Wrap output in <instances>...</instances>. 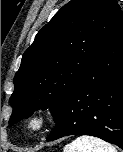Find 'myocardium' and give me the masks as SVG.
I'll use <instances>...</instances> for the list:
<instances>
[{"instance_id":"f54148a6","label":"myocardium","mask_w":123,"mask_h":152,"mask_svg":"<svg viewBox=\"0 0 123 152\" xmlns=\"http://www.w3.org/2000/svg\"><path fill=\"white\" fill-rule=\"evenodd\" d=\"M49 121L48 115L44 112H34L26 119V127L30 132L38 133L45 129Z\"/></svg>"}]
</instances>
